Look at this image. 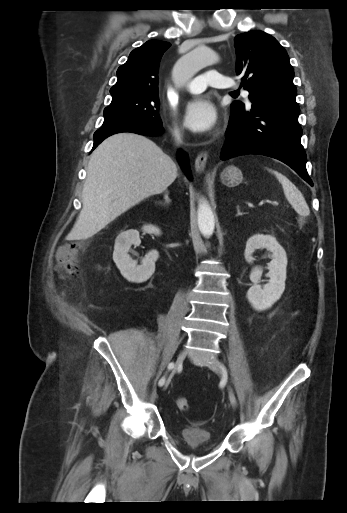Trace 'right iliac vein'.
I'll use <instances>...</instances> for the list:
<instances>
[{"mask_svg": "<svg viewBox=\"0 0 347 513\" xmlns=\"http://www.w3.org/2000/svg\"><path fill=\"white\" fill-rule=\"evenodd\" d=\"M184 358H185V353L184 352H181L178 357H177V360H176V365H175V369L173 372H175L177 370V368L182 364V362L184 361ZM168 386V382L166 383L165 385V388Z\"/></svg>", "mask_w": 347, "mask_h": 513, "instance_id": "1", "label": "right iliac vein"}]
</instances>
